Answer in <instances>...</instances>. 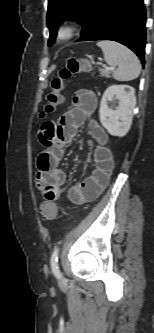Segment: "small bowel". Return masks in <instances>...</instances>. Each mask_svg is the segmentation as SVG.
Listing matches in <instances>:
<instances>
[{
    "label": "small bowel",
    "instance_id": "small-bowel-1",
    "mask_svg": "<svg viewBox=\"0 0 154 333\" xmlns=\"http://www.w3.org/2000/svg\"><path fill=\"white\" fill-rule=\"evenodd\" d=\"M97 97L89 89H79L72 97V107L57 121H45L38 130V139L44 149L37 159L35 181L43 197L51 202L58 200L63 191L65 173L60 168L65 148L76 136L78 129L92 116ZM88 133L95 141L92 173L68 191V199L76 205L98 198L109 183L113 158L107 147L108 135L96 121L89 120Z\"/></svg>",
    "mask_w": 154,
    "mask_h": 333
}]
</instances>
